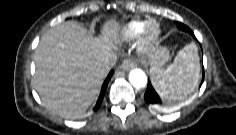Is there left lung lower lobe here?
<instances>
[{"label":"left lung lower lobe","instance_id":"left-lung-lower-lobe-1","mask_svg":"<svg viewBox=\"0 0 236 135\" xmlns=\"http://www.w3.org/2000/svg\"><path fill=\"white\" fill-rule=\"evenodd\" d=\"M177 26L180 30H183L185 32L190 33L193 37L194 33L191 31L190 28H188L186 25L177 22ZM204 77V74H203ZM202 83H203V79H202ZM144 100L148 105H152V106H157V105H162L161 99L158 96V94L155 92V90L153 89L152 85L150 82H148V86L146 89V92L144 94Z\"/></svg>","mask_w":236,"mask_h":135}]
</instances>
